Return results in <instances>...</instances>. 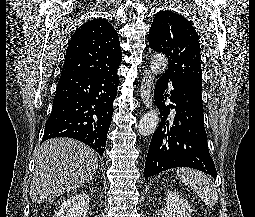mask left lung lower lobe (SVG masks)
Instances as JSON below:
<instances>
[{
	"instance_id": "left-lung-lower-lobe-1",
	"label": "left lung lower lobe",
	"mask_w": 255,
	"mask_h": 217,
	"mask_svg": "<svg viewBox=\"0 0 255 217\" xmlns=\"http://www.w3.org/2000/svg\"><path fill=\"white\" fill-rule=\"evenodd\" d=\"M169 80L173 89L166 94ZM202 89L183 78L165 72L155 86V103L161 113V122L149 146L144 176L156 175L176 167H190L213 178L217 172L209 154L204 128ZM172 102L168 106L165 101ZM175 109L174 120L170 111Z\"/></svg>"
}]
</instances>
